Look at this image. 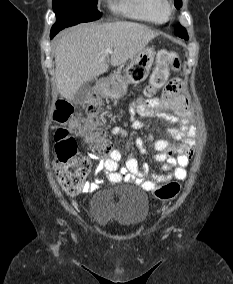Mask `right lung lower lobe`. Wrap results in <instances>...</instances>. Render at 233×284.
Returning <instances> with one entry per match:
<instances>
[{
	"label": "right lung lower lobe",
	"mask_w": 233,
	"mask_h": 284,
	"mask_svg": "<svg viewBox=\"0 0 233 284\" xmlns=\"http://www.w3.org/2000/svg\"><path fill=\"white\" fill-rule=\"evenodd\" d=\"M50 36H51V38H53V37H54V35H51V34H50Z\"/></svg>",
	"instance_id": "98d812e1"
}]
</instances>
